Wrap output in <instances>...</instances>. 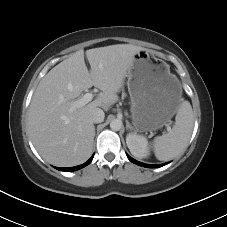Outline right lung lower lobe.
<instances>
[{
	"label": "right lung lower lobe",
	"instance_id": "obj_1",
	"mask_svg": "<svg viewBox=\"0 0 227 227\" xmlns=\"http://www.w3.org/2000/svg\"><path fill=\"white\" fill-rule=\"evenodd\" d=\"M92 159H93V156L87 162H85L82 165L75 166V167H70V168H57V169L60 170V171H76V170H79V169L87 166L88 164H90Z\"/></svg>",
	"mask_w": 227,
	"mask_h": 227
}]
</instances>
